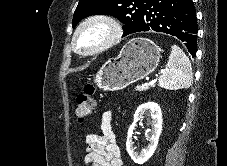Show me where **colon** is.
Instances as JSON below:
<instances>
[{"label": "colon", "instance_id": "colon-1", "mask_svg": "<svg viewBox=\"0 0 227 166\" xmlns=\"http://www.w3.org/2000/svg\"><path fill=\"white\" fill-rule=\"evenodd\" d=\"M95 87L92 84H86L75 101V113L78 118L83 119L91 115L95 110V100L93 95Z\"/></svg>", "mask_w": 227, "mask_h": 166}]
</instances>
